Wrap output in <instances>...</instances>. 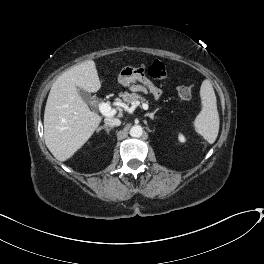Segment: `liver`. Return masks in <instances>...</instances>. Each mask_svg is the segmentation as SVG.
I'll use <instances>...</instances> for the list:
<instances>
[{
    "instance_id": "liver-1",
    "label": "liver",
    "mask_w": 264,
    "mask_h": 264,
    "mask_svg": "<svg viewBox=\"0 0 264 264\" xmlns=\"http://www.w3.org/2000/svg\"><path fill=\"white\" fill-rule=\"evenodd\" d=\"M78 88L95 93L101 88L95 62H82L53 83L44 112L45 144L59 161L71 158L93 135L101 116L90 110Z\"/></svg>"
}]
</instances>
